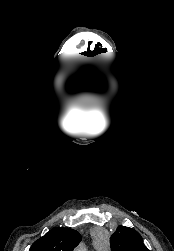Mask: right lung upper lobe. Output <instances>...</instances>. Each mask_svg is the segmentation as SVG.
I'll list each match as a JSON object with an SVG mask.
<instances>
[{
	"label": "right lung upper lobe",
	"instance_id": "obj_1",
	"mask_svg": "<svg viewBox=\"0 0 174 251\" xmlns=\"http://www.w3.org/2000/svg\"><path fill=\"white\" fill-rule=\"evenodd\" d=\"M81 235L70 228L54 227L34 242L30 251H73Z\"/></svg>",
	"mask_w": 174,
	"mask_h": 251
}]
</instances>
